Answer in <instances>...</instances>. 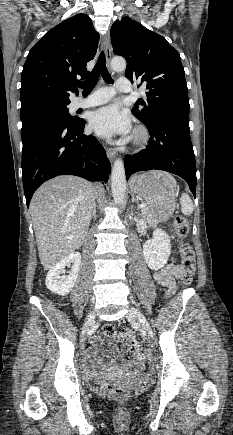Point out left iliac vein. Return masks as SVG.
I'll return each mask as SVG.
<instances>
[{"label":"left iliac vein","mask_w":233,"mask_h":435,"mask_svg":"<svg viewBox=\"0 0 233 435\" xmlns=\"http://www.w3.org/2000/svg\"><path fill=\"white\" fill-rule=\"evenodd\" d=\"M127 319L130 322H137L146 332L149 338H153V333L149 323L147 322L144 315L135 307H130Z\"/></svg>","instance_id":"1"}]
</instances>
